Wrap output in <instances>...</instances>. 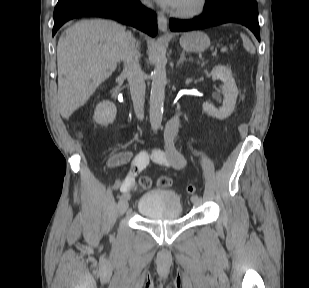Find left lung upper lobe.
<instances>
[{
  "label": "left lung upper lobe",
  "instance_id": "left-lung-upper-lobe-1",
  "mask_svg": "<svg viewBox=\"0 0 309 288\" xmlns=\"http://www.w3.org/2000/svg\"><path fill=\"white\" fill-rule=\"evenodd\" d=\"M207 2H213V1H215V0H206Z\"/></svg>",
  "mask_w": 309,
  "mask_h": 288
}]
</instances>
